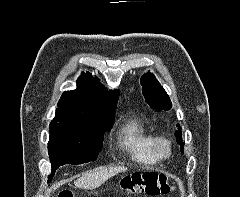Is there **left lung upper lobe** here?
<instances>
[{
	"label": "left lung upper lobe",
	"instance_id": "5c2ea615",
	"mask_svg": "<svg viewBox=\"0 0 240 197\" xmlns=\"http://www.w3.org/2000/svg\"><path fill=\"white\" fill-rule=\"evenodd\" d=\"M142 93L146 102L156 111L169 110L172 107L169 96L157 81L152 73H146L141 77ZM179 126V125H178ZM177 142L181 145V152L184 151L181 137V127L175 132Z\"/></svg>",
	"mask_w": 240,
	"mask_h": 197
}]
</instances>
